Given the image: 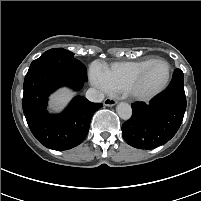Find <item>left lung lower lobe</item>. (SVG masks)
<instances>
[{
    "instance_id": "left-lung-lower-lobe-1",
    "label": "left lung lower lobe",
    "mask_w": 201,
    "mask_h": 201,
    "mask_svg": "<svg viewBox=\"0 0 201 201\" xmlns=\"http://www.w3.org/2000/svg\"><path fill=\"white\" fill-rule=\"evenodd\" d=\"M186 110L184 77L175 69L171 83L149 104L134 103L132 117L122 125V136L131 146L153 149L169 141L179 129Z\"/></svg>"
}]
</instances>
